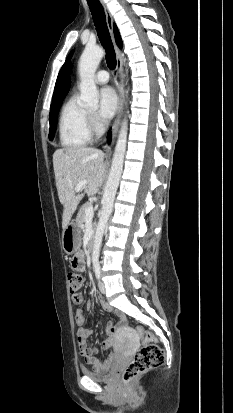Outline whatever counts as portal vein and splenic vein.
Returning a JSON list of instances; mask_svg holds the SVG:
<instances>
[{
    "label": "portal vein and splenic vein",
    "instance_id": "18ae733b",
    "mask_svg": "<svg viewBox=\"0 0 233 413\" xmlns=\"http://www.w3.org/2000/svg\"><path fill=\"white\" fill-rule=\"evenodd\" d=\"M87 183H88L87 180L80 181L75 186V191L76 192L80 191L82 188H84L87 185ZM93 216H94L93 206L90 205L85 211V219L88 220V219L92 218Z\"/></svg>",
    "mask_w": 233,
    "mask_h": 413
}]
</instances>
